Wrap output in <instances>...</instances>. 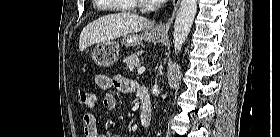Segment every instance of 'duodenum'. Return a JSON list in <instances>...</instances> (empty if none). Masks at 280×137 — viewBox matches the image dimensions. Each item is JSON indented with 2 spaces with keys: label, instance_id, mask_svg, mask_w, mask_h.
Wrapping results in <instances>:
<instances>
[{
  "label": "duodenum",
  "instance_id": "duodenum-1",
  "mask_svg": "<svg viewBox=\"0 0 280 137\" xmlns=\"http://www.w3.org/2000/svg\"><path fill=\"white\" fill-rule=\"evenodd\" d=\"M138 93L141 100V109L139 113V121L143 127L149 126L153 119V109L146 86H141L138 89Z\"/></svg>",
  "mask_w": 280,
  "mask_h": 137
}]
</instances>
